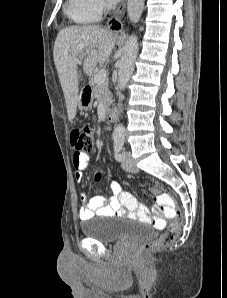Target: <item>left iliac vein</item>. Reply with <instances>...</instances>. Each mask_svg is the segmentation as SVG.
Wrapping results in <instances>:
<instances>
[{
    "mask_svg": "<svg viewBox=\"0 0 227 298\" xmlns=\"http://www.w3.org/2000/svg\"><path fill=\"white\" fill-rule=\"evenodd\" d=\"M122 167H123L124 170H126L128 172H137L138 171V168L133 163V160H132V157H131L130 153H127L125 155V158L122 161Z\"/></svg>",
    "mask_w": 227,
    "mask_h": 298,
    "instance_id": "1",
    "label": "left iliac vein"
}]
</instances>
